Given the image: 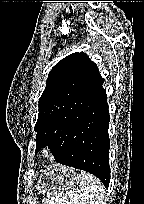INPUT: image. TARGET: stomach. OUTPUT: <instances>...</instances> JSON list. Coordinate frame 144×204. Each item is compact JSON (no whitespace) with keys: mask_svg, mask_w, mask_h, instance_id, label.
<instances>
[{"mask_svg":"<svg viewBox=\"0 0 144 204\" xmlns=\"http://www.w3.org/2000/svg\"><path fill=\"white\" fill-rule=\"evenodd\" d=\"M77 180L73 169L60 165L50 166L37 182V189L47 197L56 196L60 192L72 189Z\"/></svg>","mask_w":144,"mask_h":204,"instance_id":"stomach-1","label":"stomach"}]
</instances>
